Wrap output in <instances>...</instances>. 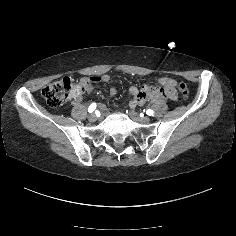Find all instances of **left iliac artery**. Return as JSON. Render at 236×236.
I'll use <instances>...</instances> for the list:
<instances>
[{"mask_svg":"<svg viewBox=\"0 0 236 236\" xmlns=\"http://www.w3.org/2000/svg\"><path fill=\"white\" fill-rule=\"evenodd\" d=\"M146 114L149 115V116H153L154 112H153V110L148 109V110L146 111Z\"/></svg>","mask_w":236,"mask_h":236,"instance_id":"44dca946","label":"left iliac artery"}]
</instances>
